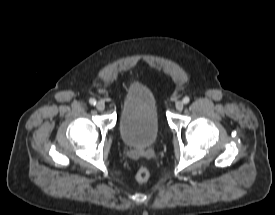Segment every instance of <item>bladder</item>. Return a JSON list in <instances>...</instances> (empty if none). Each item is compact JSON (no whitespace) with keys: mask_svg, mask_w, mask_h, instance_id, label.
<instances>
[{"mask_svg":"<svg viewBox=\"0 0 275 215\" xmlns=\"http://www.w3.org/2000/svg\"><path fill=\"white\" fill-rule=\"evenodd\" d=\"M159 131L160 116L155 95L143 84L131 85L119 119L121 139L128 146L146 148L156 141Z\"/></svg>","mask_w":275,"mask_h":215,"instance_id":"31cf9c89","label":"bladder"}]
</instances>
